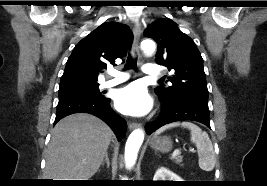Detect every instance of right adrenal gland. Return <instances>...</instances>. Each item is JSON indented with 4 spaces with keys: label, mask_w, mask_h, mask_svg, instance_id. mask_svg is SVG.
Returning a JSON list of instances; mask_svg holds the SVG:
<instances>
[{
    "label": "right adrenal gland",
    "mask_w": 267,
    "mask_h": 186,
    "mask_svg": "<svg viewBox=\"0 0 267 186\" xmlns=\"http://www.w3.org/2000/svg\"><path fill=\"white\" fill-rule=\"evenodd\" d=\"M105 163L107 164V167L109 168L110 167V161H109L108 153L105 154V158L102 161L101 166H104Z\"/></svg>",
    "instance_id": "2a0ac1e0"
}]
</instances>
